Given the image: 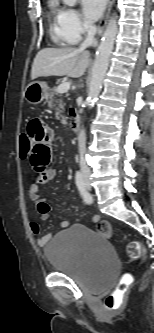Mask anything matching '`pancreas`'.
Listing matches in <instances>:
<instances>
[{"mask_svg": "<svg viewBox=\"0 0 154 333\" xmlns=\"http://www.w3.org/2000/svg\"><path fill=\"white\" fill-rule=\"evenodd\" d=\"M59 93L56 91V89L49 90L47 96H48V107L54 108L56 110V117L60 116V112H62L61 109H63V102L62 99H56V95ZM58 103V107H56V104Z\"/></svg>", "mask_w": 154, "mask_h": 333, "instance_id": "pancreas-1", "label": "pancreas"}]
</instances>
